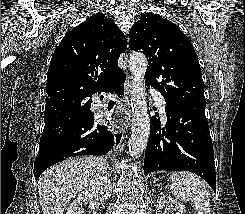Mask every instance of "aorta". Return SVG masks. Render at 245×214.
Returning a JSON list of instances; mask_svg holds the SVG:
<instances>
[{"label": "aorta", "mask_w": 245, "mask_h": 214, "mask_svg": "<svg viewBox=\"0 0 245 214\" xmlns=\"http://www.w3.org/2000/svg\"><path fill=\"white\" fill-rule=\"evenodd\" d=\"M146 69L147 58L142 53H132L129 59V70L132 75L130 94L133 117L129 152L134 158L145 150L150 135V118L144 91Z\"/></svg>", "instance_id": "obj_1"}]
</instances>
